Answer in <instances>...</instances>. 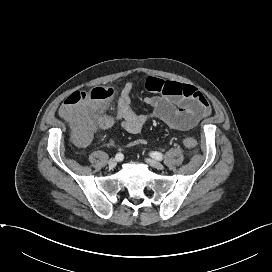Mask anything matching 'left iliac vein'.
<instances>
[{
  "mask_svg": "<svg viewBox=\"0 0 272 272\" xmlns=\"http://www.w3.org/2000/svg\"><path fill=\"white\" fill-rule=\"evenodd\" d=\"M146 162L156 169L162 170L164 168L163 164L156 160L146 159Z\"/></svg>",
  "mask_w": 272,
  "mask_h": 272,
  "instance_id": "1",
  "label": "left iliac vein"
}]
</instances>
